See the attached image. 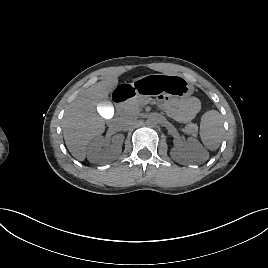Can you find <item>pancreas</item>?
I'll return each instance as SVG.
<instances>
[{"mask_svg": "<svg viewBox=\"0 0 268 268\" xmlns=\"http://www.w3.org/2000/svg\"><path fill=\"white\" fill-rule=\"evenodd\" d=\"M151 101V98L147 96L138 95L135 98L128 100L120 105V110L123 114L138 113L142 108ZM197 126L195 124H189L182 129L187 134L194 133Z\"/></svg>", "mask_w": 268, "mask_h": 268, "instance_id": "cf45deb5", "label": "pancreas"}]
</instances>
